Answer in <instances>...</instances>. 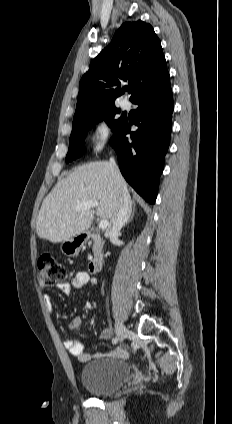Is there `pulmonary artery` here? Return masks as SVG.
Returning a JSON list of instances; mask_svg holds the SVG:
<instances>
[{
	"instance_id": "pulmonary-artery-1",
	"label": "pulmonary artery",
	"mask_w": 232,
	"mask_h": 424,
	"mask_svg": "<svg viewBox=\"0 0 232 424\" xmlns=\"http://www.w3.org/2000/svg\"><path fill=\"white\" fill-rule=\"evenodd\" d=\"M121 107L124 110H128L130 108V102L128 100H122Z\"/></svg>"
}]
</instances>
